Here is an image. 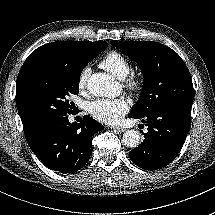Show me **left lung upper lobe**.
Instances as JSON below:
<instances>
[{"label":"left lung upper lobe","mask_w":215,"mask_h":215,"mask_svg":"<svg viewBox=\"0 0 215 215\" xmlns=\"http://www.w3.org/2000/svg\"><path fill=\"white\" fill-rule=\"evenodd\" d=\"M123 53L136 61L144 75L140 99L129 117L143 118L175 104L193 102L191 74L182 58L168 46L153 41H111Z\"/></svg>","instance_id":"5c2ea615"}]
</instances>
